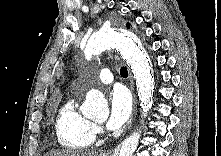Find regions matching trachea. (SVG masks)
Instances as JSON below:
<instances>
[{"mask_svg":"<svg viewBox=\"0 0 221 156\" xmlns=\"http://www.w3.org/2000/svg\"><path fill=\"white\" fill-rule=\"evenodd\" d=\"M120 74L122 77H127L128 76V71H127V68L126 67H121L120 69Z\"/></svg>","mask_w":221,"mask_h":156,"instance_id":"trachea-1","label":"trachea"}]
</instances>
